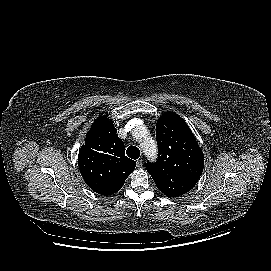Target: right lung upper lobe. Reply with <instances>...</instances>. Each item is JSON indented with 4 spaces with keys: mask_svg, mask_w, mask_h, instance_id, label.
<instances>
[{
    "mask_svg": "<svg viewBox=\"0 0 271 271\" xmlns=\"http://www.w3.org/2000/svg\"><path fill=\"white\" fill-rule=\"evenodd\" d=\"M116 132L111 120L98 117L78 155L84 181L91 189H108L102 192L104 195L119 191L136 166L134 160L125 156L124 143Z\"/></svg>",
    "mask_w": 271,
    "mask_h": 271,
    "instance_id": "right-lung-upper-lobe-1",
    "label": "right lung upper lobe"
}]
</instances>
